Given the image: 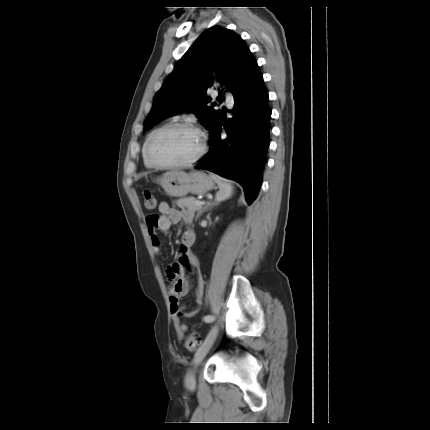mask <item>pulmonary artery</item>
Returning a JSON list of instances; mask_svg holds the SVG:
<instances>
[{
	"mask_svg": "<svg viewBox=\"0 0 430 430\" xmlns=\"http://www.w3.org/2000/svg\"><path fill=\"white\" fill-rule=\"evenodd\" d=\"M225 97H226V99H227L228 104H229V105H232V104H233V99H232L231 94H230V93H228V92H225Z\"/></svg>",
	"mask_w": 430,
	"mask_h": 430,
	"instance_id": "pulmonary-artery-1",
	"label": "pulmonary artery"
}]
</instances>
